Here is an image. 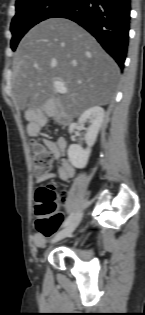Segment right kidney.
I'll return each mask as SVG.
<instances>
[{
  "label": "right kidney",
  "instance_id": "right-kidney-1",
  "mask_svg": "<svg viewBox=\"0 0 145 315\" xmlns=\"http://www.w3.org/2000/svg\"><path fill=\"white\" fill-rule=\"evenodd\" d=\"M104 115L105 113L102 107L93 106L80 115L77 123H72L69 126V132L72 133L74 129L80 128L86 121L91 123L85 134L87 148L83 149L78 144H72L68 149L70 162L75 168L82 169L87 165L91 153V147L96 141Z\"/></svg>",
  "mask_w": 145,
  "mask_h": 315
}]
</instances>
